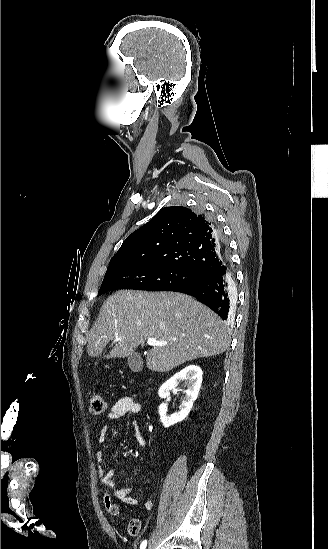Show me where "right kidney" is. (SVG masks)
Returning a JSON list of instances; mask_svg holds the SVG:
<instances>
[{
  "label": "right kidney",
  "instance_id": "ca27d5eb",
  "mask_svg": "<svg viewBox=\"0 0 328 549\" xmlns=\"http://www.w3.org/2000/svg\"><path fill=\"white\" fill-rule=\"evenodd\" d=\"M202 375L203 373L200 367H197V365H189V367H185V369H182V371H179V373L173 375L171 379H168V381L160 387L158 395L161 399H168V397H170V391L175 389V387H178L180 381H185L188 387L187 391H185L186 397H184V401H182L183 407L179 413H174V415L168 417V407L166 403H162V405H160L159 415L161 423H163V427H171V425H175V423H179V421L186 419L188 413H190L193 407L194 401H196L198 397L199 389L202 383Z\"/></svg>",
  "mask_w": 328,
  "mask_h": 549
}]
</instances>
